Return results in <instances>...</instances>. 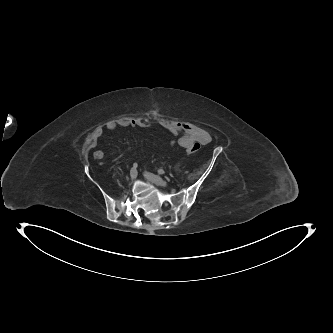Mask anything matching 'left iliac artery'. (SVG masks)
Listing matches in <instances>:
<instances>
[{
	"label": "left iliac artery",
	"mask_w": 333,
	"mask_h": 333,
	"mask_svg": "<svg viewBox=\"0 0 333 333\" xmlns=\"http://www.w3.org/2000/svg\"><path fill=\"white\" fill-rule=\"evenodd\" d=\"M157 172H158L159 174H165V171H164L163 169H158Z\"/></svg>",
	"instance_id": "44dca946"
}]
</instances>
